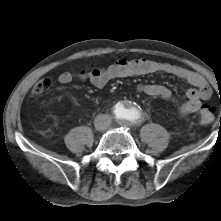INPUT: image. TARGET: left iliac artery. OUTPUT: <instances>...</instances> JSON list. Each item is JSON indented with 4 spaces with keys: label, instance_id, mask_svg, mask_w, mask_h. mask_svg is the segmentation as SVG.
Listing matches in <instances>:
<instances>
[{
    "label": "left iliac artery",
    "instance_id": "1",
    "mask_svg": "<svg viewBox=\"0 0 221 221\" xmlns=\"http://www.w3.org/2000/svg\"><path fill=\"white\" fill-rule=\"evenodd\" d=\"M141 114L138 110H132V112L127 116V119L131 122H136L140 119Z\"/></svg>",
    "mask_w": 221,
    "mask_h": 221
}]
</instances>
